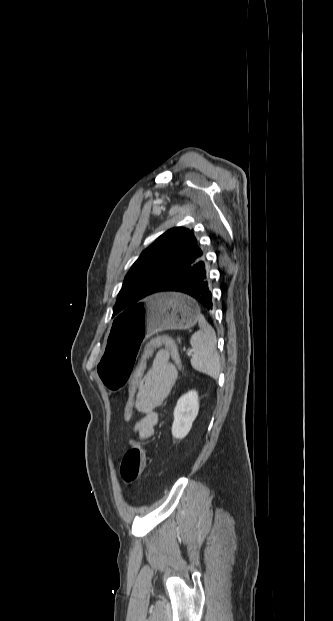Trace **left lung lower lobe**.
<instances>
[{
    "label": "left lung lower lobe",
    "mask_w": 333,
    "mask_h": 621,
    "mask_svg": "<svg viewBox=\"0 0 333 621\" xmlns=\"http://www.w3.org/2000/svg\"><path fill=\"white\" fill-rule=\"evenodd\" d=\"M205 258L198 261L190 269L178 274L165 283L159 292H182L196 299L207 310H212V293L205 270Z\"/></svg>",
    "instance_id": "obj_1"
}]
</instances>
